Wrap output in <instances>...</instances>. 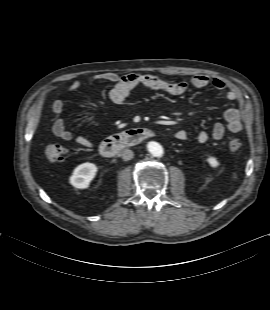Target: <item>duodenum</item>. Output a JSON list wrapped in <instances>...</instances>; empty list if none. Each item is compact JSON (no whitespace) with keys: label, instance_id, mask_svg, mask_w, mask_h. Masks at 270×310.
I'll return each mask as SVG.
<instances>
[{"label":"duodenum","instance_id":"1","mask_svg":"<svg viewBox=\"0 0 270 310\" xmlns=\"http://www.w3.org/2000/svg\"><path fill=\"white\" fill-rule=\"evenodd\" d=\"M154 135L148 128H134L112 135L100 144V153L104 157L117 155L123 149L133 147Z\"/></svg>","mask_w":270,"mask_h":310}]
</instances>
